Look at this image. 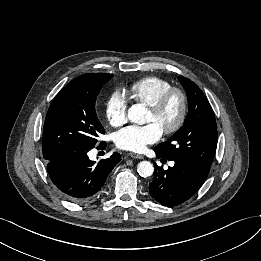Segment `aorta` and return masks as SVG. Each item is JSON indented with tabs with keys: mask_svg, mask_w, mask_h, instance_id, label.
Instances as JSON below:
<instances>
[{
	"mask_svg": "<svg viewBox=\"0 0 261 261\" xmlns=\"http://www.w3.org/2000/svg\"><path fill=\"white\" fill-rule=\"evenodd\" d=\"M146 109L142 104H134L128 109L127 117L132 123L144 124L143 116ZM137 171L141 177H149L154 172V166L149 161H142L138 164Z\"/></svg>",
	"mask_w": 261,
	"mask_h": 261,
	"instance_id": "762f6f07",
	"label": "aorta"
}]
</instances>
